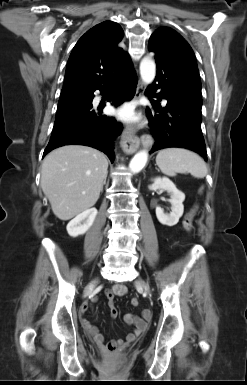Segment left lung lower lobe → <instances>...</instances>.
<instances>
[{
  "label": "left lung lower lobe",
  "instance_id": "obj_1",
  "mask_svg": "<svg viewBox=\"0 0 247 385\" xmlns=\"http://www.w3.org/2000/svg\"><path fill=\"white\" fill-rule=\"evenodd\" d=\"M148 50L155 53L157 83L148 87L145 95L159 98L158 101L167 100L166 107L162 108L149 98L153 108H148L146 112L155 138L152 152L168 147L187 148L207 160L201 132V88L154 44L149 43ZM157 90L159 93L156 94Z\"/></svg>",
  "mask_w": 247,
  "mask_h": 385
}]
</instances>
